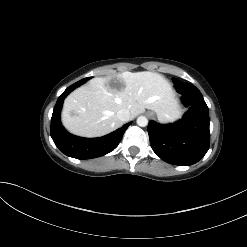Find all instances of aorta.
Instances as JSON below:
<instances>
[{"instance_id": "762f6f07", "label": "aorta", "mask_w": 247, "mask_h": 247, "mask_svg": "<svg viewBox=\"0 0 247 247\" xmlns=\"http://www.w3.org/2000/svg\"><path fill=\"white\" fill-rule=\"evenodd\" d=\"M137 124L140 127H145L148 125V119L145 116H139L137 118Z\"/></svg>"}]
</instances>
